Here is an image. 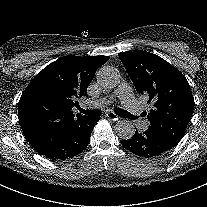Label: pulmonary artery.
I'll return each mask as SVG.
<instances>
[{
	"instance_id": "pulmonary-artery-1",
	"label": "pulmonary artery",
	"mask_w": 207,
	"mask_h": 207,
	"mask_svg": "<svg viewBox=\"0 0 207 207\" xmlns=\"http://www.w3.org/2000/svg\"><path fill=\"white\" fill-rule=\"evenodd\" d=\"M122 94V102L127 105V111L130 114H137L140 111V104L135 101V94L132 92V85L128 81H121L118 84V89L116 95ZM113 101V96H108L104 98L102 102L111 103ZM148 121L143 122L144 129L147 128Z\"/></svg>"
}]
</instances>
